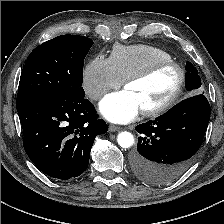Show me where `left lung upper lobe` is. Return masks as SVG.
Here are the masks:
<instances>
[{"instance_id": "obj_1", "label": "left lung upper lobe", "mask_w": 224, "mask_h": 224, "mask_svg": "<svg viewBox=\"0 0 224 224\" xmlns=\"http://www.w3.org/2000/svg\"><path fill=\"white\" fill-rule=\"evenodd\" d=\"M185 75V85L186 89L191 95H196L201 92V79L198 75L197 69L192 65V63L187 62Z\"/></svg>"}]
</instances>
